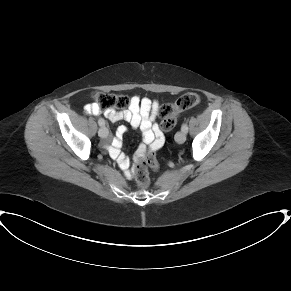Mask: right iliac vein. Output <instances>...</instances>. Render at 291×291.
I'll list each match as a JSON object with an SVG mask.
<instances>
[{
    "label": "right iliac vein",
    "instance_id": "right-iliac-vein-1",
    "mask_svg": "<svg viewBox=\"0 0 291 291\" xmlns=\"http://www.w3.org/2000/svg\"><path fill=\"white\" fill-rule=\"evenodd\" d=\"M108 134H109V131H108V129H107L106 127H102V128H100L99 131H98V135H99L101 138H105V137H107Z\"/></svg>",
    "mask_w": 291,
    "mask_h": 291
}]
</instances>
